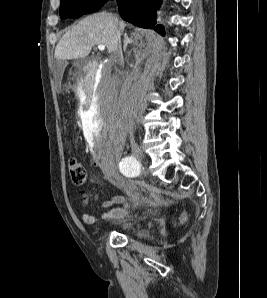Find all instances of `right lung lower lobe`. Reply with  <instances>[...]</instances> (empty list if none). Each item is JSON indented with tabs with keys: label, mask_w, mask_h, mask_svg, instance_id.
Listing matches in <instances>:
<instances>
[{
	"label": "right lung lower lobe",
	"mask_w": 267,
	"mask_h": 298,
	"mask_svg": "<svg viewBox=\"0 0 267 298\" xmlns=\"http://www.w3.org/2000/svg\"><path fill=\"white\" fill-rule=\"evenodd\" d=\"M119 6L121 17L143 28H153L164 34L161 25L156 23V11L160 7L162 0H116Z\"/></svg>",
	"instance_id": "right-lung-lower-lobe-1"
}]
</instances>
